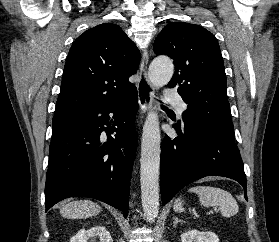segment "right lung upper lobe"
<instances>
[{
    "instance_id": "right-lung-upper-lobe-1",
    "label": "right lung upper lobe",
    "mask_w": 279,
    "mask_h": 242,
    "mask_svg": "<svg viewBox=\"0 0 279 242\" xmlns=\"http://www.w3.org/2000/svg\"><path fill=\"white\" fill-rule=\"evenodd\" d=\"M139 62V50L119 26L104 23L85 31L69 51L54 118L126 99L137 91L128 79Z\"/></svg>"
}]
</instances>
